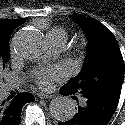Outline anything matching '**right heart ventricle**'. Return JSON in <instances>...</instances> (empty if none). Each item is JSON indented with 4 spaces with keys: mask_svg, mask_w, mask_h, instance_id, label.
Here are the masks:
<instances>
[{
    "mask_svg": "<svg viewBox=\"0 0 125 125\" xmlns=\"http://www.w3.org/2000/svg\"><path fill=\"white\" fill-rule=\"evenodd\" d=\"M48 34L61 35L66 39L67 33L66 30L62 27H53L50 29Z\"/></svg>",
    "mask_w": 125,
    "mask_h": 125,
    "instance_id": "obj_1",
    "label": "right heart ventricle"
}]
</instances>
